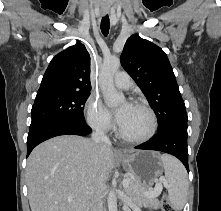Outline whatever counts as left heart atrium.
<instances>
[{
	"instance_id": "left-heart-atrium-1",
	"label": "left heart atrium",
	"mask_w": 221,
	"mask_h": 211,
	"mask_svg": "<svg viewBox=\"0 0 221 211\" xmlns=\"http://www.w3.org/2000/svg\"><path fill=\"white\" fill-rule=\"evenodd\" d=\"M128 105L129 103H125L124 106L116 112V120L118 123L121 122Z\"/></svg>"
}]
</instances>
